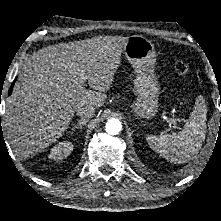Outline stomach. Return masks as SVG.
<instances>
[{"mask_svg": "<svg viewBox=\"0 0 221 221\" xmlns=\"http://www.w3.org/2000/svg\"><path fill=\"white\" fill-rule=\"evenodd\" d=\"M127 60L136 71L134 89L137 96L132 111L139 120H150L159 108L160 86L154 73L156 52L154 44L142 35L128 37L123 47Z\"/></svg>", "mask_w": 221, "mask_h": 221, "instance_id": "0dacf381", "label": "stomach"}]
</instances>
